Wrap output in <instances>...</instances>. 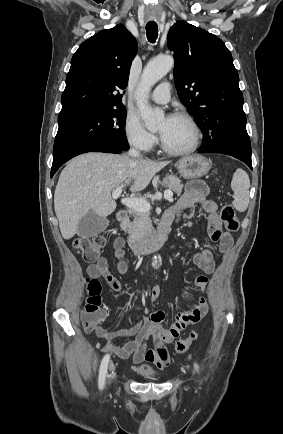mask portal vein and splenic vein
<instances>
[{
  "instance_id": "1",
  "label": "portal vein and splenic vein",
  "mask_w": 283,
  "mask_h": 434,
  "mask_svg": "<svg viewBox=\"0 0 283 434\" xmlns=\"http://www.w3.org/2000/svg\"><path fill=\"white\" fill-rule=\"evenodd\" d=\"M122 193V186H118L113 192L112 197L114 199L120 197ZM164 198L168 201H173V193L171 190L164 191ZM122 204L128 208L139 212H149L151 209L150 203L145 199L141 198H123L121 200Z\"/></svg>"
}]
</instances>
